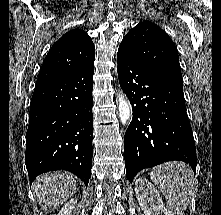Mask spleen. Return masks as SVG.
<instances>
[{
    "label": "spleen",
    "instance_id": "3e777b00",
    "mask_svg": "<svg viewBox=\"0 0 221 215\" xmlns=\"http://www.w3.org/2000/svg\"><path fill=\"white\" fill-rule=\"evenodd\" d=\"M150 178L165 195L170 215H184L196 186L191 168L183 162H166L153 168Z\"/></svg>",
    "mask_w": 221,
    "mask_h": 215
}]
</instances>
